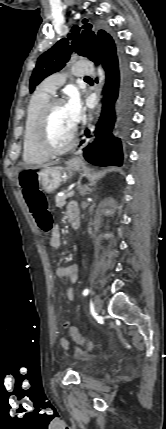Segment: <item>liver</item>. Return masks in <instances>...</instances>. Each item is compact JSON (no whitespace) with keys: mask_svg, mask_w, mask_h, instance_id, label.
Listing matches in <instances>:
<instances>
[{"mask_svg":"<svg viewBox=\"0 0 166 429\" xmlns=\"http://www.w3.org/2000/svg\"><path fill=\"white\" fill-rule=\"evenodd\" d=\"M59 161L58 160H56L55 162H51V163H48V164H44V165H41V166H37V167H33L34 169H37V168H39V167H42V168H48V167H50V166H52V165H54V164H57ZM29 167L28 166H24L22 169H28ZM21 170V169H20Z\"/></svg>","mask_w":166,"mask_h":429,"instance_id":"6515ba94","label":"liver"}]
</instances>
